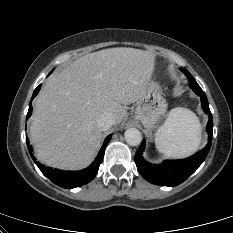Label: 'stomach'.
I'll return each instance as SVG.
<instances>
[{"instance_id":"0dacf381","label":"stomach","mask_w":233,"mask_h":233,"mask_svg":"<svg viewBox=\"0 0 233 233\" xmlns=\"http://www.w3.org/2000/svg\"><path fill=\"white\" fill-rule=\"evenodd\" d=\"M167 110V103L162 96L160 86L150 81L145 94L137 102L134 120L143 124V126L151 131L159 123L162 115Z\"/></svg>"}]
</instances>
